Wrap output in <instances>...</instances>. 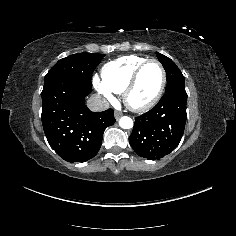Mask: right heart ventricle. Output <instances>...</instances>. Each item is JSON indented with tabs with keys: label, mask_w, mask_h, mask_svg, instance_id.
Wrapping results in <instances>:
<instances>
[{
	"label": "right heart ventricle",
	"mask_w": 236,
	"mask_h": 236,
	"mask_svg": "<svg viewBox=\"0 0 236 236\" xmlns=\"http://www.w3.org/2000/svg\"><path fill=\"white\" fill-rule=\"evenodd\" d=\"M145 60L146 57L127 55L109 61L100 71L103 84L112 93H122L134 70Z\"/></svg>",
	"instance_id": "1"
}]
</instances>
